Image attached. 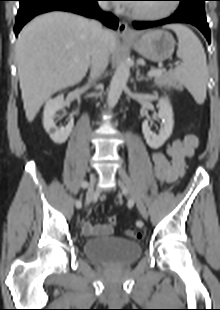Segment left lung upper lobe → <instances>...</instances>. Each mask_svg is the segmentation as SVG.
<instances>
[{
	"instance_id": "obj_1",
	"label": "left lung upper lobe",
	"mask_w": 220,
	"mask_h": 310,
	"mask_svg": "<svg viewBox=\"0 0 220 310\" xmlns=\"http://www.w3.org/2000/svg\"><path fill=\"white\" fill-rule=\"evenodd\" d=\"M180 1V11H198L205 13L204 1L205 0H178Z\"/></svg>"
}]
</instances>
